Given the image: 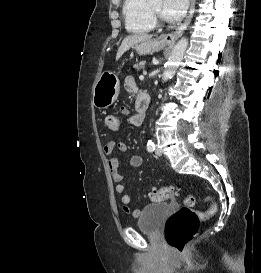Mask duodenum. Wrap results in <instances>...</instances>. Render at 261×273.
I'll return each mask as SVG.
<instances>
[{
  "mask_svg": "<svg viewBox=\"0 0 261 273\" xmlns=\"http://www.w3.org/2000/svg\"><path fill=\"white\" fill-rule=\"evenodd\" d=\"M150 98L146 93H142L136 100V113L133 116V124L139 126L143 123L145 118V112L149 105Z\"/></svg>",
  "mask_w": 261,
  "mask_h": 273,
  "instance_id": "duodenum-1",
  "label": "duodenum"
}]
</instances>
